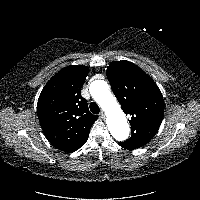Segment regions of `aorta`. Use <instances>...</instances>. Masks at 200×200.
<instances>
[{
  "label": "aorta",
  "instance_id": "762f6f07",
  "mask_svg": "<svg viewBox=\"0 0 200 200\" xmlns=\"http://www.w3.org/2000/svg\"><path fill=\"white\" fill-rule=\"evenodd\" d=\"M90 93L106 113V123L111 135L117 141H124L129 136V125L107 82L95 80L90 85Z\"/></svg>",
  "mask_w": 200,
  "mask_h": 200
}]
</instances>
